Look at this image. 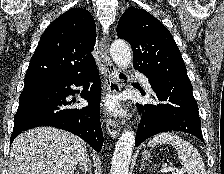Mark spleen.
<instances>
[{"label":"spleen","instance_id":"1","mask_svg":"<svg viewBox=\"0 0 224 174\" xmlns=\"http://www.w3.org/2000/svg\"><path fill=\"white\" fill-rule=\"evenodd\" d=\"M165 143L176 149L181 165L187 170V174H206L204 162L198 150L174 133L163 132L155 135L148 142V147Z\"/></svg>","mask_w":224,"mask_h":174}]
</instances>
